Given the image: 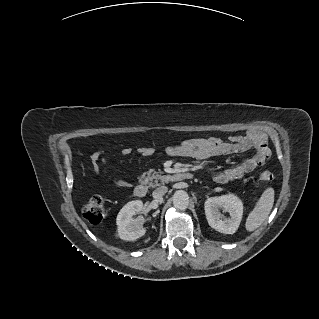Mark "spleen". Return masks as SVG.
Returning <instances> with one entry per match:
<instances>
[{
	"instance_id": "spleen-1",
	"label": "spleen",
	"mask_w": 319,
	"mask_h": 319,
	"mask_svg": "<svg viewBox=\"0 0 319 319\" xmlns=\"http://www.w3.org/2000/svg\"><path fill=\"white\" fill-rule=\"evenodd\" d=\"M274 203V189L269 187L264 190L254 209L246 220V230L252 232L260 227L268 218Z\"/></svg>"
}]
</instances>
